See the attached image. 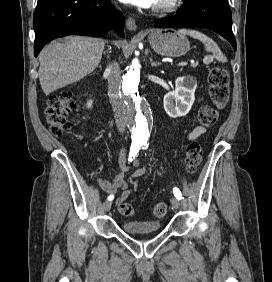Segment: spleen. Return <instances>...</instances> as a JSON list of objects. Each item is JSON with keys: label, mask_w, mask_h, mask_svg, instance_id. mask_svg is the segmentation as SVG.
Segmentation results:
<instances>
[{"label": "spleen", "mask_w": 272, "mask_h": 282, "mask_svg": "<svg viewBox=\"0 0 272 282\" xmlns=\"http://www.w3.org/2000/svg\"><path fill=\"white\" fill-rule=\"evenodd\" d=\"M178 33L182 35H189L195 39L200 40L204 44L205 50L207 52H211L217 60L221 62H227V58L225 57V55H223L218 45L203 33L190 29H180Z\"/></svg>", "instance_id": "obj_1"}]
</instances>
